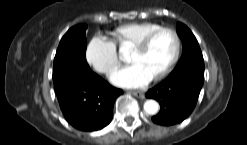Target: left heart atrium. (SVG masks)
Instances as JSON below:
<instances>
[{"mask_svg":"<svg viewBox=\"0 0 247 145\" xmlns=\"http://www.w3.org/2000/svg\"><path fill=\"white\" fill-rule=\"evenodd\" d=\"M111 80L121 87L137 88L149 83L152 80V76L139 65L131 64L116 71L111 76Z\"/></svg>","mask_w":247,"mask_h":145,"instance_id":"1","label":"left heart atrium"}]
</instances>
